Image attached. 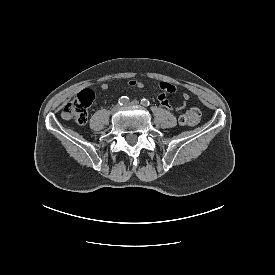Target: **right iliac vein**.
<instances>
[{"label":"right iliac vein","instance_id":"63e3f726","mask_svg":"<svg viewBox=\"0 0 275 275\" xmlns=\"http://www.w3.org/2000/svg\"><path fill=\"white\" fill-rule=\"evenodd\" d=\"M119 108H120L119 105H115L111 110L112 114H115L119 110Z\"/></svg>","mask_w":275,"mask_h":275}]
</instances>
